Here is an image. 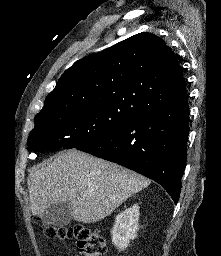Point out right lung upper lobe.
Here are the masks:
<instances>
[{"instance_id": "right-lung-upper-lobe-1", "label": "right lung upper lobe", "mask_w": 221, "mask_h": 256, "mask_svg": "<svg viewBox=\"0 0 221 256\" xmlns=\"http://www.w3.org/2000/svg\"><path fill=\"white\" fill-rule=\"evenodd\" d=\"M187 100L182 71L171 48L158 36L143 32L76 61L37 115L108 104L138 116Z\"/></svg>"}]
</instances>
